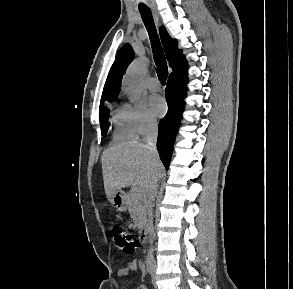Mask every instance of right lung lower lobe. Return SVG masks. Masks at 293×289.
I'll use <instances>...</instances> for the list:
<instances>
[{
  "mask_svg": "<svg viewBox=\"0 0 293 289\" xmlns=\"http://www.w3.org/2000/svg\"><path fill=\"white\" fill-rule=\"evenodd\" d=\"M187 82V76L180 78L169 76L165 89L168 112L159 122L157 149L166 169L169 168L175 136L184 111Z\"/></svg>",
  "mask_w": 293,
  "mask_h": 289,
  "instance_id": "obj_1",
  "label": "right lung lower lobe"
}]
</instances>
